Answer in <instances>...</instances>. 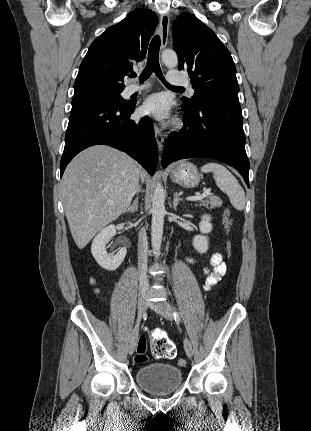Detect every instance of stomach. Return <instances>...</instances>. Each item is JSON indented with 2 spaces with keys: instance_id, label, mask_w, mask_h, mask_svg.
<instances>
[{
  "instance_id": "obj_1",
  "label": "stomach",
  "mask_w": 311,
  "mask_h": 431,
  "mask_svg": "<svg viewBox=\"0 0 311 431\" xmlns=\"http://www.w3.org/2000/svg\"><path fill=\"white\" fill-rule=\"evenodd\" d=\"M170 180L182 188H196L201 180V174L194 164L179 162L170 172Z\"/></svg>"
}]
</instances>
